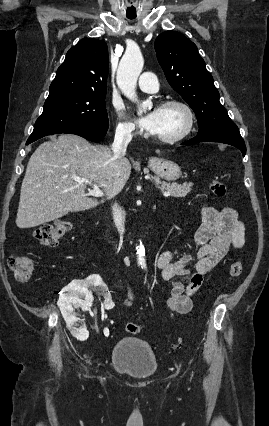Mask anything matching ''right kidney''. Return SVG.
<instances>
[{"label": "right kidney", "instance_id": "ca27d5eb", "mask_svg": "<svg viewBox=\"0 0 269 426\" xmlns=\"http://www.w3.org/2000/svg\"><path fill=\"white\" fill-rule=\"evenodd\" d=\"M94 286L100 288V293L105 292V285L102 282V279L96 275L90 276L85 280L68 281L67 286H61L60 293L62 296L59 299L58 305L68 328L71 329L78 321V318L74 312V308H90L93 297L91 291H89V288ZM101 307L104 311H113L114 304L110 296L103 300ZM78 337L80 339H86L88 337V332L85 327L80 330Z\"/></svg>", "mask_w": 269, "mask_h": 426}]
</instances>
